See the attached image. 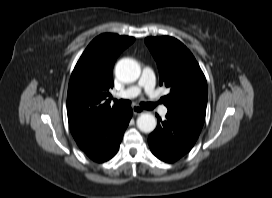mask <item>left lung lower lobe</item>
<instances>
[{"mask_svg": "<svg viewBox=\"0 0 272 198\" xmlns=\"http://www.w3.org/2000/svg\"><path fill=\"white\" fill-rule=\"evenodd\" d=\"M203 121L169 112L166 120L159 122L149 135L148 143L152 153L162 161L174 162L191 150L195 144Z\"/></svg>", "mask_w": 272, "mask_h": 198, "instance_id": "0a47b994", "label": "left lung lower lobe"}]
</instances>
